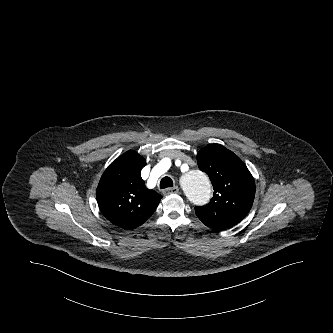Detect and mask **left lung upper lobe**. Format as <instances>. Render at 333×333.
I'll return each mask as SVG.
<instances>
[{"instance_id": "1", "label": "left lung upper lobe", "mask_w": 333, "mask_h": 333, "mask_svg": "<svg viewBox=\"0 0 333 333\" xmlns=\"http://www.w3.org/2000/svg\"><path fill=\"white\" fill-rule=\"evenodd\" d=\"M197 162L214 187L211 201L203 207H195L197 217L215 230L238 224L254 201L255 182L251 173L237 155L219 144L199 151Z\"/></svg>"}]
</instances>
